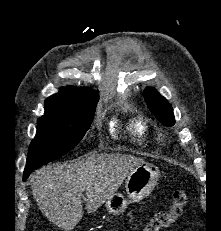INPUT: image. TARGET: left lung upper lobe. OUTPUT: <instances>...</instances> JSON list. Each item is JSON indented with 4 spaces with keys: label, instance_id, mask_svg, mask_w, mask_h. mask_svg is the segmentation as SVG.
<instances>
[{
    "label": "left lung upper lobe",
    "instance_id": "5c2ea615",
    "mask_svg": "<svg viewBox=\"0 0 221 231\" xmlns=\"http://www.w3.org/2000/svg\"><path fill=\"white\" fill-rule=\"evenodd\" d=\"M144 99L150 111L162 124L168 127L174 125L175 119L172 107L155 89L147 88L144 91Z\"/></svg>",
    "mask_w": 221,
    "mask_h": 231
}]
</instances>
